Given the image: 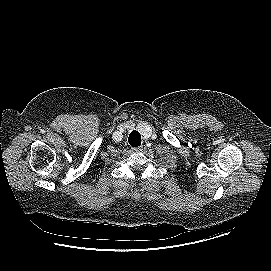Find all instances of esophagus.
<instances>
[{"mask_svg":"<svg viewBox=\"0 0 271 271\" xmlns=\"http://www.w3.org/2000/svg\"><path fill=\"white\" fill-rule=\"evenodd\" d=\"M132 150H133V151H138V152H139V151H142V150H143V147L133 148Z\"/></svg>","mask_w":271,"mask_h":271,"instance_id":"1","label":"esophagus"}]
</instances>
